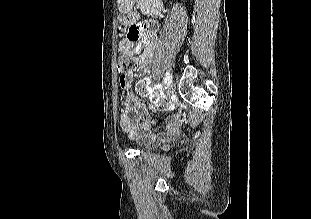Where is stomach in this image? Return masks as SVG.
<instances>
[{
    "label": "stomach",
    "mask_w": 311,
    "mask_h": 219,
    "mask_svg": "<svg viewBox=\"0 0 311 219\" xmlns=\"http://www.w3.org/2000/svg\"><path fill=\"white\" fill-rule=\"evenodd\" d=\"M133 3L134 0L131 1L129 10L124 13H121L120 22L125 26L131 25L137 18L136 13H133L131 11Z\"/></svg>",
    "instance_id": "1"
}]
</instances>
